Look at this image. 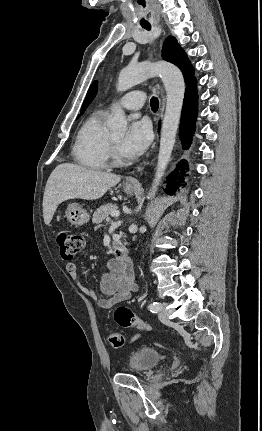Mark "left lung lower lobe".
Listing matches in <instances>:
<instances>
[{"instance_id":"obj_1","label":"left lung lower lobe","mask_w":262,"mask_h":431,"mask_svg":"<svg viewBox=\"0 0 262 431\" xmlns=\"http://www.w3.org/2000/svg\"><path fill=\"white\" fill-rule=\"evenodd\" d=\"M197 90L196 81L186 84L184 105L182 110L180 138L183 142V148L187 149L190 146L192 136L195 131V120L197 116ZM188 170V165L185 161H181L176 169L169 175L167 179V187L165 192L172 195L180 189L181 183L184 182L183 173ZM186 186V184H184Z\"/></svg>"}]
</instances>
